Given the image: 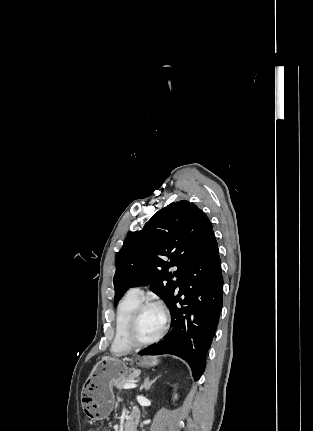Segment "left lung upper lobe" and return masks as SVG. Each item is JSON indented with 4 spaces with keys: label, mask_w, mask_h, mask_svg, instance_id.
<instances>
[{
    "label": "left lung upper lobe",
    "mask_w": 313,
    "mask_h": 431,
    "mask_svg": "<svg viewBox=\"0 0 313 431\" xmlns=\"http://www.w3.org/2000/svg\"><path fill=\"white\" fill-rule=\"evenodd\" d=\"M211 230L206 214L186 200L159 210L117 253L114 306L130 287L148 284L168 305ZM173 266L178 268L174 275L169 272Z\"/></svg>",
    "instance_id": "obj_1"
}]
</instances>
